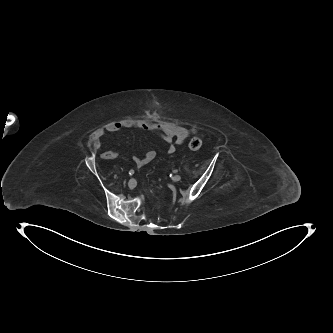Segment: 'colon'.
<instances>
[{
    "mask_svg": "<svg viewBox=\"0 0 333 333\" xmlns=\"http://www.w3.org/2000/svg\"><path fill=\"white\" fill-rule=\"evenodd\" d=\"M202 146V140L199 137H193L189 142V148L191 150H198Z\"/></svg>",
    "mask_w": 333,
    "mask_h": 333,
    "instance_id": "obj_1",
    "label": "colon"
}]
</instances>
